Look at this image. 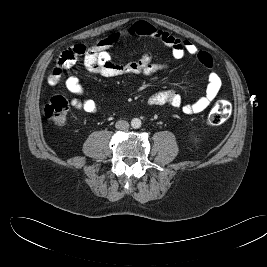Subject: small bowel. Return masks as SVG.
I'll return each mask as SVG.
<instances>
[{
	"label": "small bowel",
	"instance_id": "1",
	"mask_svg": "<svg viewBox=\"0 0 267 267\" xmlns=\"http://www.w3.org/2000/svg\"><path fill=\"white\" fill-rule=\"evenodd\" d=\"M135 36L156 39L169 47L174 59H181L186 55L196 57L205 67L213 65L212 56L200 50L194 43L186 39H180L174 35L160 30L146 21H136L125 28L97 40L92 44L80 43L68 47L59 56L55 67L48 76L50 85H57L63 78L66 70L72 68L79 58H83L85 68L95 74L104 77L122 75L150 76L167 69L166 63H155L151 52H146L138 61L126 64H117L112 61L111 47L116 43ZM66 90L75 97L71 100L73 108L87 113L99 110L98 104L85 97V89L80 80L74 76L65 79ZM222 87L220 76L211 71L208 76V84L205 94L193 102L185 103L181 95L173 90H159L149 96L147 103L153 106H169L180 109L183 113L191 115L204 111L218 96Z\"/></svg>",
	"mask_w": 267,
	"mask_h": 267
}]
</instances>
